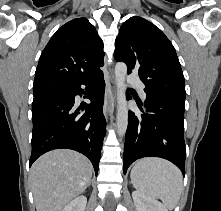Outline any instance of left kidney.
Returning a JSON list of instances; mask_svg holds the SVG:
<instances>
[{
  "label": "left kidney",
  "mask_w": 221,
  "mask_h": 211,
  "mask_svg": "<svg viewBox=\"0 0 221 211\" xmlns=\"http://www.w3.org/2000/svg\"><path fill=\"white\" fill-rule=\"evenodd\" d=\"M132 198L137 211H168L161 202L139 191H134Z\"/></svg>",
  "instance_id": "1"
}]
</instances>
